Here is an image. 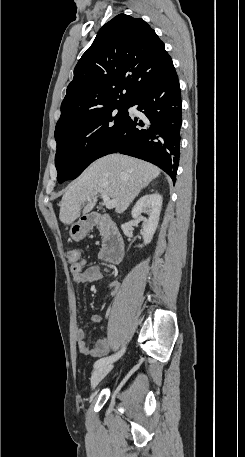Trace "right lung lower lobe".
<instances>
[{
	"instance_id": "obj_1",
	"label": "right lung lower lobe",
	"mask_w": 245,
	"mask_h": 457,
	"mask_svg": "<svg viewBox=\"0 0 245 457\" xmlns=\"http://www.w3.org/2000/svg\"><path fill=\"white\" fill-rule=\"evenodd\" d=\"M146 118L124 120L110 152L149 161L176 180L180 156L181 90L175 69L148 80L129 101Z\"/></svg>"
}]
</instances>
